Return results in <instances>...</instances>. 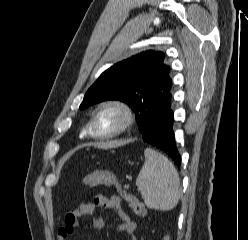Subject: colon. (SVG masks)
<instances>
[{
	"instance_id": "colon-1",
	"label": "colon",
	"mask_w": 248,
	"mask_h": 240,
	"mask_svg": "<svg viewBox=\"0 0 248 240\" xmlns=\"http://www.w3.org/2000/svg\"><path fill=\"white\" fill-rule=\"evenodd\" d=\"M83 183L87 187H94L97 185H106L116 188L120 195L126 200L134 213L140 217L146 214V210L141 201L133 194L127 192L120 184L115 175L108 171H95L88 174Z\"/></svg>"
}]
</instances>
